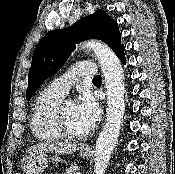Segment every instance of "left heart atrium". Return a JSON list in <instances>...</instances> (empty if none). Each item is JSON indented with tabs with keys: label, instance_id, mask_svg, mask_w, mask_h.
Masks as SVG:
<instances>
[{
	"label": "left heart atrium",
	"instance_id": "39dd6f15",
	"mask_svg": "<svg viewBox=\"0 0 175 174\" xmlns=\"http://www.w3.org/2000/svg\"><path fill=\"white\" fill-rule=\"evenodd\" d=\"M78 113L85 125L92 128L100 116V108L96 99L88 92H84L76 103Z\"/></svg>",
	"mask_w": 175,
	"mask_h": 174
}]
</instances>
